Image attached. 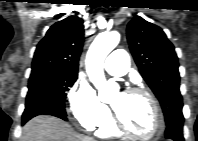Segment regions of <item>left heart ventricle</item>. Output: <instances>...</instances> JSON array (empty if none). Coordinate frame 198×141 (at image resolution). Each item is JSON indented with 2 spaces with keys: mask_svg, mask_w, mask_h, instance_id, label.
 <instances>
[{
  "mask_svg": "<svg viewBox=\"0 0 198 141\" xmlns=\"http://www.w3.org/2000/svg\"><path fill=\"white\" fill-rule=\"evenodd\" d=\"M111 105L122 123L132 132L141 136H148L154 131L153 107L145 96L116 93L112 97Z\"/></svg>",
  "mask_w": 198,
  "mask_h": 141,
  "instance_id": "obj_1",
  "label": "left heart ventricle"
}]
</instances>
